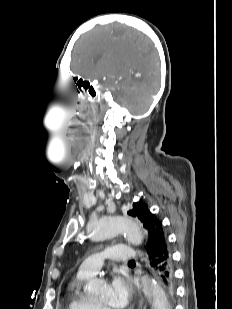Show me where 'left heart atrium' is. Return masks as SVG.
<instances>
[{
    "instance_id": "1",
    "label": "left heart atrium",
    "mask_w": 232,
    "mask_h": 309,
    "mask_svg": "<svg viewBox=\"0 0 232 309\" xmlns=\"http://www.w3.org/2000/svg\"><path fill=\"white\" fill-rule=\"evenodd\" d=\"M111 306L115 309L126 308L132 298L133 290L130 284L121 276H114L110 283Z\"/></svg>"
}]
</instances>
